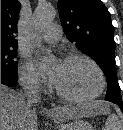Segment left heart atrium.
Wrapping results in <instances>:
<instances>
[{
	"label": "left heart atrium",
	"mask_w": 123,
	"mask_h": 130,
	"mask_svg": "<svg viewBox=\"0 0 123 130\" xmlns=\"http://www.w3.org/2000/svg\"><path fill=\"white\" fill-rule=\"evenodd\" d=\"M59 64H60V62H57V63L51 68V70L49 71V75H50V77H51L52 80L54 79V77H55V75H56V72H57V69H58V67H59ZM39 65H40L41 68H43L44 65H45V60H44V59H41V60L39 61Z\"/></svg>",
	"instance_id": "39dd6f15"
}]
</instances>
